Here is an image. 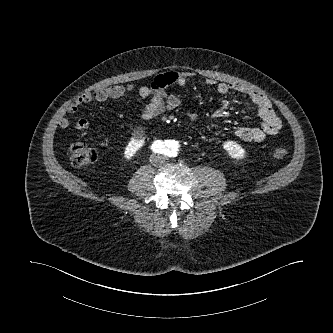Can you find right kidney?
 Wrapping results in <instances>:
<instances>
[{"label":"right kidney","mask_w":333,"mask_h":333,"mask_svg":"<svg viewBox=\"0 0 333 333\" xmlns=\"http://www.w3.org/2000/svg\"><path fill=\"white\" fill-rule=\"evenodd\" d=\"M144 140L143 139H134L131 138L127 146L124 150V158L126 161L132 159L136 152L143 146Z\"/></svg>","instance_id":"right-kidney-1"}]
</instances>
